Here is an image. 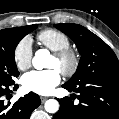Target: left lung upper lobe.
Wrapping results in <instances>:
<instances>
[{
  "label": "left lung upper lobe",
  "instance_id": "left-lung-upper-lobe-1",
  "mask_svg": "<svg viewBox=\"0 0 119 119\" xmlns=\"http://www.w3.org/2000/svg\"><path fill=\"white\" fill-rule=\"evenodd\" d=\"M55 27L76 44L81 59L66 85L79 86L100 78H119V61L113 50L97 35L78 24L62 23Z\"/></svg>",
  "mask_w": 119,
  "mask_h": 119
}]
</instances>
